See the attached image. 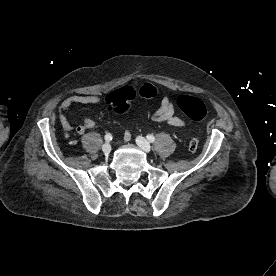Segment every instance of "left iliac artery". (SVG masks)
<instances>
[{
  "instance_id": "44dca946",
  "label": "left iliac artery",
  "mask_w": 276,
  "mask_h": 276,
  "mask_svg": "<svg viewBox=\"0 0 276 276\" xmlns=\"http://www.w3.org/2000/svg\"><path fill=\"white\" fill-rule=\"evenodd\" d=\"M147 139H148L150 142H154V141H155V137H154L153 135H151V134H149V135L147 136Z\"/></svg>"
}]
</instances>
